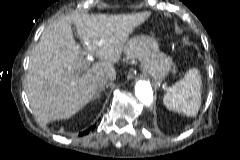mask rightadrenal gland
Returning a JSON list of instances; mask_svg holds the SVG:
<instances>
[{
	"label": "right adrenal gland",
	"instance_id": "obj_1",
	"mask_svg": "<svg viewBox=\"0 0 240 160\" xmlns=\"http://www.w3.org/2000/svg\"><path fill=\"white\" fill-rule=\"evenodd\" d=\"M105 89L104 88H100L98 90V92L96 93V95L94 96L93 100H99L100 97H101V92L104 91Z\"/></svg>",
	"mask_w": 240,
	"mask_h": 160
}]
</instances>
